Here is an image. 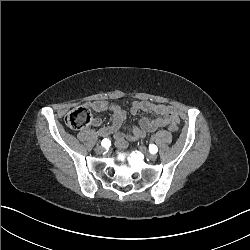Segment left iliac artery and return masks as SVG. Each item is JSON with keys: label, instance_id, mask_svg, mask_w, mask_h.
Returning <instances> with one entry per match:
<instances>
[{"label": "left iliac artery", "instance_id": "obj_1", "mask_svg": "<svg viewBox=\"0 0 250 250\" xmlns=\"http://www.w3.org/2000/svg\"><path fill=\"white\" fill-rule=\"evenodd\" d=\"M149 151H150V153L155 154V153H157L158 148H157L156 145L150 144V145H149Z\"/></svg>", "mask_w": 250, "mask_h": 250}]
</instances>
